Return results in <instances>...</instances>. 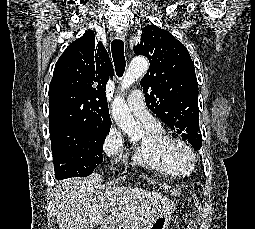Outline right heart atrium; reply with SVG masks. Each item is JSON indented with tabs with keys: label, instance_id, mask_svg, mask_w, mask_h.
<instances>
[{
	"label": "right heart atrium",
	"instance_id": "1",
	"mask_svg": "<svg viewBox=\"0 0 255 229\" xmlns=\"http://www.w3.org/2000/svg\"><path fill=\"white\" fill-rule=\"evenodd\" d=\"M123 147L124 142L121 134L117 130L112 129L104 141V153L107 157L114 159L122 153Z\"/></svg>",
	"mask_w": 255,
	"mask_h": 229
}]
</instances>
